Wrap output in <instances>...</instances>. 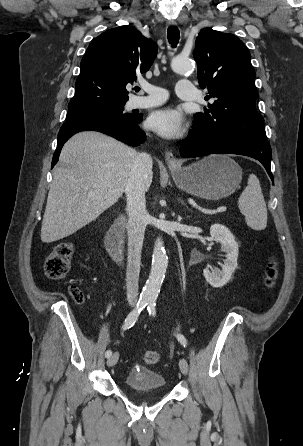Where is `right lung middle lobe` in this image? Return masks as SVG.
<instances>
[{
	"label": "right lung middle lobe",
	"mask_w": 303,
	"mask_h": 446,
	"mask_svg": "<svg viewBox=\"0 0 303 446\" xmlns=\"http://www.w3.org/2000/svg\"><path fill=\"white\" fill-rule=\"evenodd\" d=\"M125 104H117V105H110V106H103L98 107L91 110H77V109H68V114L66 116V120L72 119L78 116H84L88 114H102V115H108V116H114V117H121L126 119L134 118L135 115L133 114H123V108Z\"/></svg>",
	"instance_id": "1"
}]
</instances>
